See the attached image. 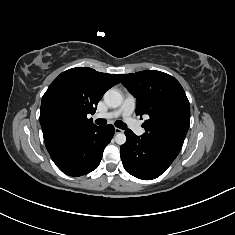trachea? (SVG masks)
<instances>
[{"label":"trachea","instance_id":"obj_1","mask_svg":"<svg viewBox=\"0 0 235 235\" xmlns=\"http://www.w3.org/2000/svg\"><path fill=\"white\" fill-rule=\"evenodd\" d=\"M95 123L97 125H105L107 123V121L105 119H97L95 121ZM115 126L120 128V129H126L127 128V125L124 122H122V121H116L115 122Z\"/></svg>","mask_w":235,"mask_h":235}]
</instances>
